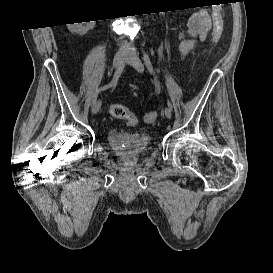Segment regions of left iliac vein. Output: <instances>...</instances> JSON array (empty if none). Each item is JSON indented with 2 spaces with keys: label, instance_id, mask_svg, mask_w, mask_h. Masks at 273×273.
Masks as SVG:
<instances>
[{
  "label": "left iliac vein",
  "instance_id": "1",
  "mask_svg": "<svg viewBox=\"0 0 273 273\" xmlns=\"http://www.w3.org/2000/svg\"><path fill=\"white\" fill-rule=\"evenodd\" d=\"M127 62L138 72L142 73L144 71V65L135 51L128 52ZM164 113L167 118H171L172 112L170 108L166 107Z\"/></svg>",
  "mask_w": 273,
  "mask_h": 273
}]
</instances>
